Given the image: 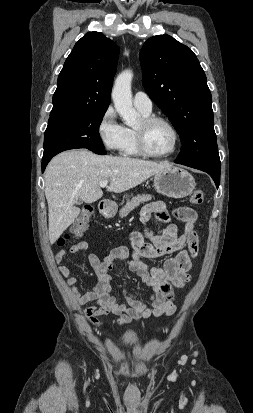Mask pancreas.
I'll list each match as a JSON object with an SVG mask.
<instances>
[{"mask_svg":"<svg viewBox=\"0 0 253 413\" xmlns=\"http://www.w3.org/2000/svg\"><path fill=\"white\" fill-rule=\"evenodd\" d=\"M152 199L151 195H137L132 198L119 212L121 218L126 217L133 209L139 206L141 203L150 201Z\"/></svg>","mask_w":253,"mask_h":413,"instance_id":"1","label":"pancreas"}]
</instances>
